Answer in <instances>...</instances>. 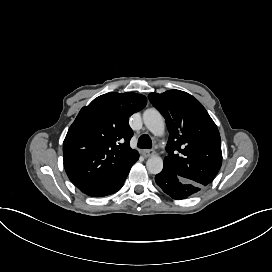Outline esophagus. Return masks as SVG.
I'll use <instances>...</instances> for the list:
<instances>
[{
  "label": "esophagus",
  "instance_id": "obj_1",
  "mask_svg": "<svg viewBox=\"0 0 272 272\" xmlns=\"http://www.w3.org/2000/svg\"><path fill=\"white\" fill-rule=\"evenodd\" d=\"M141 154L145 157H150L156 154L154 150H149V149H143L141 150Z\"/></svg>",
  "mask_w": 272,
  "mask_h": 272
}]
</instances>
